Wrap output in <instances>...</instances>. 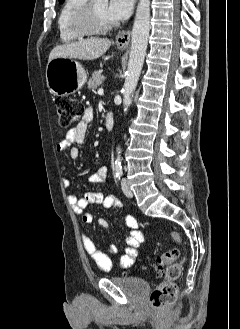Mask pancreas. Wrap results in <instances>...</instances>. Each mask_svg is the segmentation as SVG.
<instances>
[{
  "label": "pancreas",
  "instance_id": "1",
  "mask_svg": "<svg viewBox=\"0 0 240 329\" xmlns=\"http://www.w3.org/2000/svg\"><path fill=\"white\" fill-rule=\"evenodd\" d=\"M103 82L104 76L100 72L96 71L92 74V77L88 81V88L94 90Z\"/></svg>",
  "mask_w": 240,
  "mask_h": 329
}]
</instances>
